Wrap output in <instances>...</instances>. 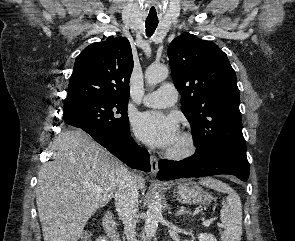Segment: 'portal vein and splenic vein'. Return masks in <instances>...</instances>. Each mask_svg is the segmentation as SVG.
Segmentation results:
<instances>
[{
	"label": "portal vein and splenic vein",
	"instance_id": "portal-vein-and-splenic-vein-1",
	"mask_svg": "<svg viewBox=\"0 0 295 241\" xmlns=\"http://www.w3.org/2000/svg\"><path fill=\"white\" fill-rule=\"evenodd\" d=\"M90 188H92L93 190L97 191V192H101L102 191V188L98 185H89ZM212 222V219L211 220H206L203 222V225L205 227H208Z\"/></svg>",
	"mask_w": 295,
	"mask_h": 241
}]
</instances>
